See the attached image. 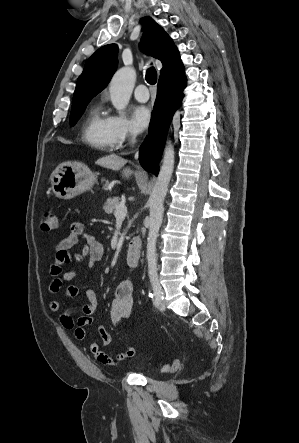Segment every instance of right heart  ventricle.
<instances>
[{"mask_svg":"<svg viewBox=\"0 0 299 443\" xmlns=\"http://www.w3.org/2000/svg\"><path fill=\"white\" fill-rule=\"evenodd\" d=\"M108 117L102 114L99 106H94L88 113L82 130V139L90 147L99 151L113 148L108 133Z\"/></svg>","mask_w":299,"mask_h":443,"instance_id":"obj_1","label":"right heart ventricle"}]
</instances>
